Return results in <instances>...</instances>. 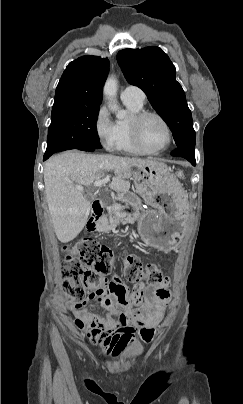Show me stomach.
Wrapping results in <instances>:
<instances>
[{
	"mask_svg": "<svg viewBox=\"0 0 243 404\" xmlns=\"http://www.w3.org/2000/svg\"><path fill=\"white\" fill-rule=\"evenodd\" d=\"M133 180L137 192L153 208L140 214V236L150 247L163 252L173 250L182 239L188 218V199L182 184L159 160L137 169Z\"/></svg>",
	"mask_w": 243,
	"mask_h": 404,
	"instance_id": "1",
	"label": "stomach"
}]
</instances>
